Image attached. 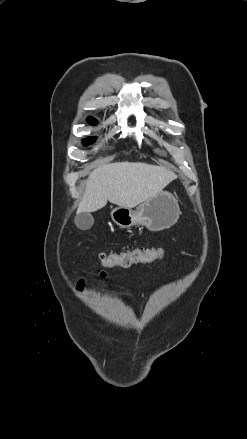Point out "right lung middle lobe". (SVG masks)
<instances>
[{
  "label": "right lung middle lobe",
  "mask_w": 247,
  "mask_h": 439,
  "mask_svg": "<svg viewBox=\"0 0 247 439\" xmlns=\"http://www.w3.org/2000/svg\"><path fill=\"white\" fill-rule=\"evenodd\" d=\"M88 121H89L91 124H95V123H96V120L93 119V118H89ZM95 139H96V138H87V139H85V140L83 141V143H84L85 145H88V144L92 143L93 141H95Z\"/></svg>",
  "instance_id": "right-lung-middle-lobe-1"
}]
</instances>
